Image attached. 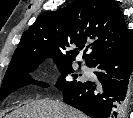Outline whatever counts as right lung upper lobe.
Here are the masks:
<instances>
[{"label":"right lung upper lobe","instance_id":"cb5924a9","mask_svg":"<svg viewBox=\"0 0 133 118\" xmlns=\"http://www.w3.org/2000/svg\"><path fill=\"white\" fill-rule=\"evenodd\" d=\"M128 40L126 23L115 1L77 0L63 9L39 15L23 33L8 69L48 57L72 62L84 47L89 48L83 58L90 66ZM73 44L77 48L68 51Z\"/></svg>","mask_w":133,"mask_h":118}]
</instances>
